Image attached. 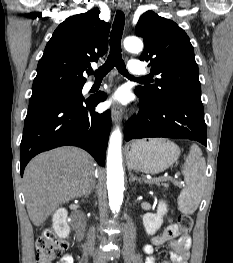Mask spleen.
<instances>
[{
  "instance_id": "1",
  "label": "spleen",
  "mask_w": 233,
  "mask_h": 263,
  "mask_svg": "<svg viewBox=\"0 0 233 263\" xmlns=\"http://www.w3.org/2000/svg\"><path fill=\"white\" fill-rule=\"evenodd\" d=\"M205 171L206 162L202 151L193 144L182 170L186 184L178 197V206L182 213L192 214L198 208L206 179Z\"/></svg>"
}]
</instances>
